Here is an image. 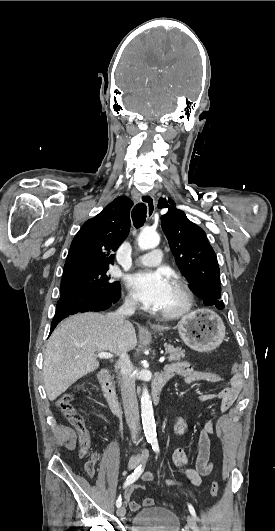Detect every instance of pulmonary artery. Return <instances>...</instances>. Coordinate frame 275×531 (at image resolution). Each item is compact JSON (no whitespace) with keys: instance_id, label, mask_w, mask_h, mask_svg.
I'll return each mask as SVG.
<instances>
[{"instance_id":"obj_1","label":"pulmonary artery","mask_w":275,"mask_h":531,"mask_svg":"<svg viewBox=\"0 0 275 531\" xmlns=\"http://www.w3.org/2000/svg\"><path fill=\"white\" fill-rule=\"evenodd\" d=\"M151 253L149 252L148 256H138L135 258V264L137 265H146V268H149V266H157L156 264L159 263L160 259L163 256L162 251L155 247L153 249L152 256L150 258Z\"/></svg>"}]
</instances>
